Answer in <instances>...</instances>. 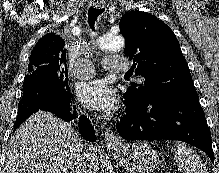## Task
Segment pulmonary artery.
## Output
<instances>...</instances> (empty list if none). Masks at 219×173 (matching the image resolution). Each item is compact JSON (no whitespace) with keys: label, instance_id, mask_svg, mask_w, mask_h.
<instances>
[{"label":"pulmonary artery","instance_id":"e3ab8cb5","mask_svg":"<svg viewBox=\"0 0 219 173\" xmlns=\"http://www.w3.org/2000/svg\"><path fill=\"white\" fill-rule=\"evenodd\" d=\"M102 62L105 69L109 71H126L130 65V62L121 56H108L105 57ZM94 73V66L88 59L81 60L73 70V75L77 79L90 78Z\"/></svg>","mask_w":219,"mask_h":173}]
</instances>
